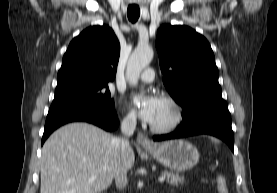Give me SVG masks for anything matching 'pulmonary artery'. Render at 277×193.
<instances>
[{
	"label": "pulmonary artery",
	"mask_w": 277,
	"mask_h": 193,
	"mask_svg": "<svg viewBox=\"0 0 277 193\" xmlns=\"http://www.w3.org/2000/svg\"><path fill=\"white\" fill-rule=\"evenodd\" d=\"M155 74L153 69L148 68L140 75V81L149 83L154 80Z\"/></svg>",
	"instance_id": "pulmonary-artery-1"
}]
</instances>
